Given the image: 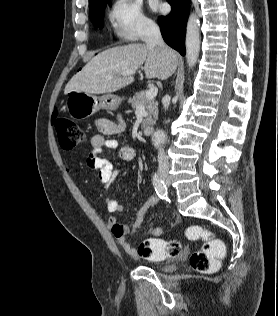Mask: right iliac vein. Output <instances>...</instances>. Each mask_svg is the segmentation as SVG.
Returning <instances> with one entry per match:
<instances>
[{"instance_id":"63e3f726","label":"right iliac vein","mask_w":278,"mask_h":316,"mask_svg":"<svg viewBox=\"0 0 278 316\" xmlns=\"http://www.w3.org/2000/svg\"><path fill=\"white\" fill-rule=\"evenodd\" d=\"M161 176H162L163 180H164L166 183H169V179H168L167 175L162 174Z\"/></svg>"}]
</instances>
